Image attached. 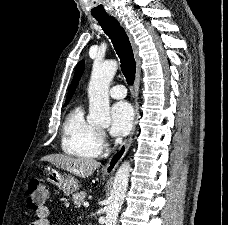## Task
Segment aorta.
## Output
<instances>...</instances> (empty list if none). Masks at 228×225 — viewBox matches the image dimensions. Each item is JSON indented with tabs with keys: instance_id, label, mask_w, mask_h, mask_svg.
<instances>
[{
	"instance_id": "obj_1",
	"label": "aorta",
	"mask_w": 228,
	"mask_h": 225,
	"mask_svg": "<svg viewBox=\"0 0 228 225\" xmlns=\"http://www.w3.org/2000/svg\"><path fill=\"white\" fill-rule=\"evenodd\" d=\"M118 68L117 60H104V62H94L90 82L88 84L89 115L87 123L89 125H100L109 127L111 123L109 88L110 82L116 74ZM130 177L129 163H123L119 167L109 197V205L106 211L105 225H116L118 213L123 205L126 195L128 181Z\"/></svg>"
}]
</instances>
